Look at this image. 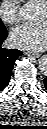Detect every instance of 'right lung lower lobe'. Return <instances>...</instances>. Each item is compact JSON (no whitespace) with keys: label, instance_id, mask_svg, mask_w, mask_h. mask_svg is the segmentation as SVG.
Segmentation results:
<instances>
[{"label":"right lung lower lobe","instance_id":"obj_1","mask_svg":"<svg viewBox=\"0 0 47 129\" xmlns=\"http://www.w3.org/2000/svg\"><path fill=\"white\" fill-rule=\"evenodd\" d=\"M7 37V30L0 31V46ZM22 55L17 49L7 50L0 47V91L8 84L16 59Z\"/></svg>","mask_w":47,"mask_h":129}]
</instances>
